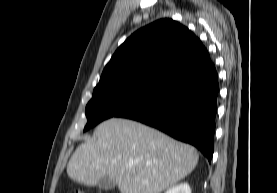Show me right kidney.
I'll list each match as a JSON object with an SVG mask.
<instances>
[{"label": "right kidney", "instance_id": "right-kidney-1", "mask_svg": "<svg viewBox=\"0 0 277 193\" xmlns=\"http://www.w3.org/2000/svg\"><path fill=\"white\" fill-rule=\"evenodd\" d=\"M165 193H191V189L188 183H181L168 189Z\"/></svg>", "mask_w": 277, "mask_h": 193}]
</instances>
